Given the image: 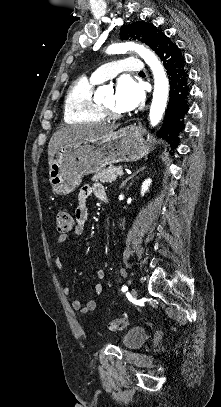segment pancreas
<instances>
[{"mask_svg": "<svg viewBox=\"0 0 221 407\" xmlns=\"http://www.w3.org/2000/svg\"><path fill=\"white\" fill-rule=\"evenodd\" d=\"M121 167L109 166L108 168H103L98 170L92 177V181H101L102 183H112L119 176L118 171H121Z\"/></svg>", "mask_w": 221, "mask_h": 407, "instance_id": "cf45deb5", "label": "pancreas"}]
</instances>
